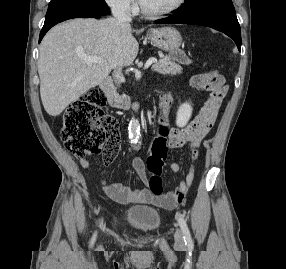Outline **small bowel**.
Instances as JSON below:
<instances>
[{"mask_svg": "<svg viewBox=\"0 0 286 269\" xmlns=\"http://www.w3.org/2000/svg\"><path fill=\"white\" fill-rule=\"evenodd\" d=\"M171 105V96L169 93H165L160 104V109L165 111V113H168ZM218 113L219 110H201L200 106L196 117L188 127L184 129H173L170 131L168 142L172 148L188 146L191 150V164L188 173L175 191L169 192L165 195H153L147 189H132L119 183H110L106 180H100V186L111 199L117 202L152 204L165 209L177 208L183 203V195L188 192L194 180V162L198 157V149L203 138L213 128L217 120ZM80 165L83 168H89L90 162L87 159H81ZM133 167L141 181L146 185L148 183V179L144 160L140 157H135L133 160ZM169 168L173 172L180 171V165L176 162L170 163Z\"/></svg>", "mask_w": 286, "mask_h": 269, "instance_id": "c3829d8e", "label": "small bowel"}]
</instances>
